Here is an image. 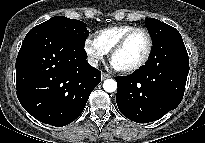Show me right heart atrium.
Wrapping results in <instances>:
<instances>
[{"mask_svg":"<svg viewBox=\"0 0 205 143\" xmlns=\"http://www.w3.org/2000/svg\"><path fill=\"white\" fill-rule=\"evenodd\" d=\"M83 47L90 64L93 66H96L102 62L107 55V52L103 49V47L96 39L92 37H87L84 40Z\"/></svg>","mask_w":205,"mask_h":143,"instance_id":"right-heart-atrium-1","label":"right heart atrium"}]
</instances>
